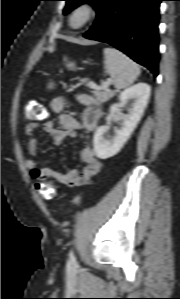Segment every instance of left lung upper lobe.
Wrapping results in <instances>:
<instances>
[{
	"label": "left lung upper lobe",
	"mask_w": 180,
	"mask_h": 299,
	"mask_svg": "<svg viewBox=\"0 0 180 299\" xmlns=\"http://www.w3.org/2000/svg\"><path fill=\"white\" fill-rule=\"evenodd\" d=\"M64 1H66V6L63 12L64 14H67L82 3H89L96 9L102 0H64Z\"/></svg>",
	"instance_id": "left-lung-upper-lobe-1"
}]
</instances>
